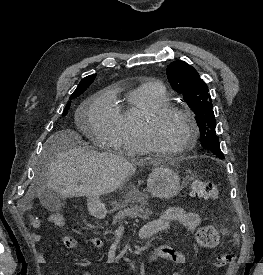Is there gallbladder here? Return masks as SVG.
<instances>
[{
    "label": "gallbladder",
    "instance_id": "obj_1",
    "mask_svg": "<svg viewBox=\"0 0 263 275\" xmlns=\"http://www.w3.org/2000/svg\"><path fill=\"white\" fill-rule=\"evenodd\" d=\"M40 202L48 211L56 212L62 207L61 196L57 192L45 189L39 195Z\"/></svg>",
    "mask_w": 263,
    "mask_h": 275
}]
</instances>
